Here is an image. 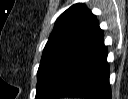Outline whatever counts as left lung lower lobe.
Wrapping results in <instances>:
<instances>
[{"label": "left lung lower lobe", "mask_w": 128, "mask_h": 99, "mask_svg": "<svg viewBox=\"0 0 128 99\" xmlns=\"http://www.w3.org/2000/svg\"><path fill=\"white\" fill-rule=\"evenodd\" d=\"M60 97L111 99L107 48L99 27L60 66L42 99Z\"/></svg>", "instance_id": "left-lung-lower-lobe-1"}]
</instances>
